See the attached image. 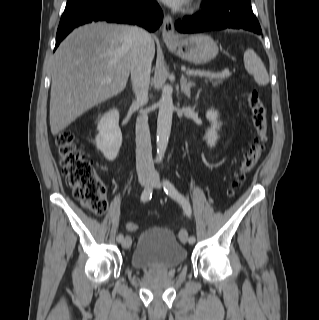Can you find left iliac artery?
<instances>
[{
    "label": "left iliac artery",
    "mask_w": 319,
    "mask_h": 320,
    "mask_svg": "<svg viewBox=\"0 0 319 320\" xmlns=\"http://www.w3.org/2000/svg\"><path fill=\"white\" fill-rule=\"evenodd\" d=\"M163 185H164V191L166 192V194L169 195L171 198L175 199L176 201H178L182 205L185 213L190 217L192 211H191V206H190L189 201L182 194H180L177 191L175 186L169 180L165 179L163 181ZM181 231H180V233H181ZM188 241L190 244H193V243H195L196 240H195L194 236H190L188 238Z\"/></svg>",
    "instance_id": "44dca946"
}]
</instances>
